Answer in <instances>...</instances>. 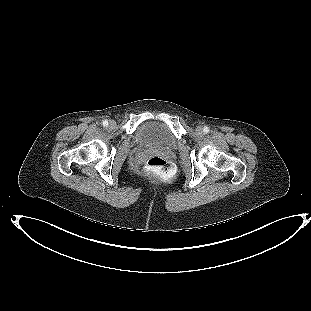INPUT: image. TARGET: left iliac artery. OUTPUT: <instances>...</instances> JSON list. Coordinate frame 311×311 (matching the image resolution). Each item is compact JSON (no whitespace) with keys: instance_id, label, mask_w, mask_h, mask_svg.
<instances>
[{"instance_id":"1","label":"left iliac artery","mask_w":311,"mask_h":311,"mask_svg":"<svg viewBox=\"0 0 311 311\" xmlns=\"http://www.w3.org/2000/svg\"><path fill=\"white\" fill-rule=\"evenodd\" d=\"M203 131H204V133H208V132L210 131V129H209L208 126H205V127L203 128Z\"/></svg>"}]
</instances>
